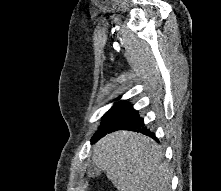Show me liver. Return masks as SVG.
Listing matches in <instances>:
<instances>
[{"label":"liver","mask_w":221,"mask_h":191,"mask_svg":"<svg viewBox=\"0 0 221 191\" xmlns=\"http://www.w3.org/2000/svg\"><path fill=\"white\" fill-rule=\"evenodd\" d=\"M151 138L116 131L94 146L92 160L119 191H170L172 172Z\"/></svg>","instance_id":"1"}]
</instances>
